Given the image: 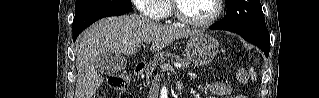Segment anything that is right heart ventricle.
<instances>
[{"label":"right heart ventricle","instance_id":"1","mask_svg":"<svg viewBox=\"0 0 319 98\" xmlns=\"http://www.w3.org/2000/svg\"><path fill=\"white\" fill-rule=\"evenodd\" d=\"M162 8L164 9L165 13H167V14L170 13V7L166 2L162 3Z\"/></svg>","mask_w":319,"mask_h":98}]
</instances>
